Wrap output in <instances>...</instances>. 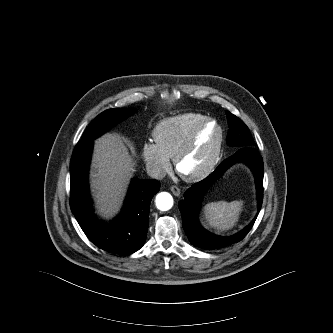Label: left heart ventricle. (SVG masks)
Instances as JSON below:
<instances>
[{"label":"left heart ventricle","mask_w":333,"mask_h":333,"mask_svg":"<svg viewBox=\"0 0 333 333\" xmlns=\"http://www.w3.org/2000/svg\"><path fill=\"white\" fill-rule=\"evenodd\" d=\"M218 139L217 127H205L198 136L196 144L181 164L183 172L191 174L202 169L213 155Z\"/></svg>","instance_id":"1"}]
</instances>
